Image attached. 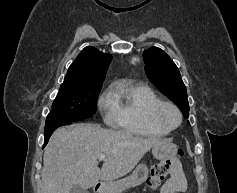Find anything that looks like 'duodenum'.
<instances>
[{
	"label": "duodenum",
	"mask_w": 237,
	"mask_h": 193,
	"mask_svg": "<svg viewBox=\"0 0 237 193\" xmlns=\"http://www.w3.org/2000/svg\"><path fill=\"white\" fill-rule=\"evenodd\" d=\"M102 189H103V187H102V185L101 184H98L97 186H96V192L97 193H100L101 191H102Z\"/></svg>",
	"instance_id": "1"
}]
</instances>
